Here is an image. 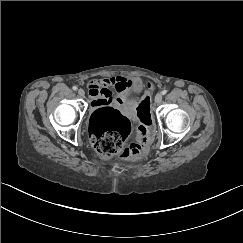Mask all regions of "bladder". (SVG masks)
<instances>
[{
  "label": "bladder",
  "instance_id": "bladder-1",
  "mask_svg": "<svg viewBox=\"0 0 243 243\" xmlns=\"http://www.w3.org/2000/svg\"><path fill=\"white\" fill-rule=\"evenodd\" d=\"M143 87H144V84H143L142 79L133 78L131 80V84H130V94L132 96L138 95L143 90Z\"/></svg>",
  "mask_w": 243,
  "mask_h": 243
}]
</instances>
